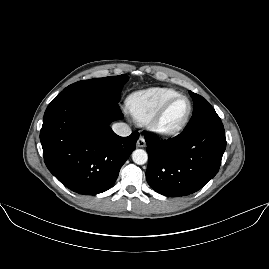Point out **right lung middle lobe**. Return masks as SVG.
<instances>
[{"label":"right lung middle lobe","instance_id":"dd1d6c3e","mask_svg":"<svg viewBox=\"0 0 269 269\" xmlns=\"http://www.w3.org/2000/svg\"><path fill=\"white\" fill-rule=\"evenodd\" d=\"M128 79V76L123 74L119 76L82 80L69 85L62 92L84 93L119 102L121 89Z\"/></svg>","mask_w":269,"mask_h":269}]
</instances>
